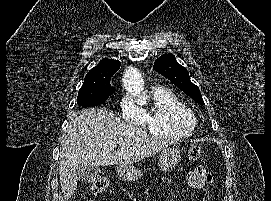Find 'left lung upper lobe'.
Listing matches in <instances>:
<instances>
[{
	"mask_svg": "<svg viewBox=\"0 0 271 201\" xmlns=\"http://www.w3.org/2000/svg\"><path fill=\"white\" fill-rule=\"evenodd\" d=\"M154 69L173 82L195 102L205 105L198 86L190 81L187 69L176 61L173 54L168 53L159 57L154 63Z\"/></svg>",
	"mask_w": 271,
	"mask_h": 201,
	"instance_id": "5c2ea615",
	"label": "left lung upper lobe"
}]
</instances>
